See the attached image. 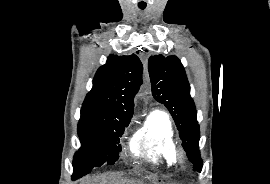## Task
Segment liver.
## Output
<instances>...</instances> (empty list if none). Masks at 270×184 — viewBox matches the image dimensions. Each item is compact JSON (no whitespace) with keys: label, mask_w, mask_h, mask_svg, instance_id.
Listing matches in <instances>:
<instances>
[{"label":"liver","mask_w":270,"mask_h":184,"mask_svg":"<svg viewBox=\"0 0 270 184\" xmlns=\"http://www.w3.org/2000/svg\"><path fill=\"white\" fill-rule=\"evenodd\" d=\"M81 184H136L134 181L117 177L114 174H103L97 177H87ZM143 184V183H139Z\"/></svg>","instance_id":"6515ba94"}]
</instances>
